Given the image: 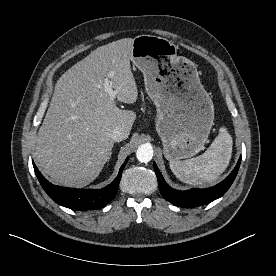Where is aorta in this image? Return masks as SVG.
<instances>
[{"label": "aorta", "mask_w": 276, "mask_h": 276, "mask_svg": "<svg viewBox=\"0 0 276 276\" xmlns=\"http://www.w3.org/2000/svg\"><path fill=\"white\" fill-rule=\"evenodd\" d=\"M137 159L142 163H147L153 158V148L150 144L139 146L136 152Z\"/></svg>", "instance_id": "762f6f07"}]
</instances>
